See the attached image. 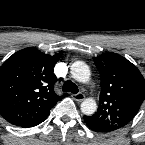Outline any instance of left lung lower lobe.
Segmentation results:
<instances>
[{"instance_id": "obj_1", "label": "left lung lower lobe", "mask_w": 145, "mask_h": 145, "mask_svg": "<svg viewBox=\"0 0 145 145\" xmlns=\"http://www.w3.org/2000/svg\"><path fill=\"white\" fill-rule=\"evenodd\" d=\"M86 123H87V122H86ZM87 125H88L93 131H95V132H104L103 130H100V129H98V128H94V127L90 126L88 123H87Z\"/></svg>"}]
</instances>
